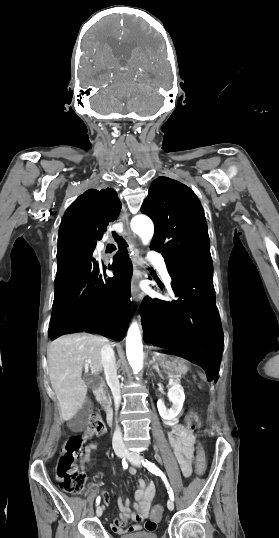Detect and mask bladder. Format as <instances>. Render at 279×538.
I'll list each match as a JSON object with an SVG mask.
<instances>
[{
  "label": "bladder",
  "mask_w": 279,
  "mask_h": 538,
  "mask_svg": "<svg viewBox=\"0 0 279 538\" xmlns=\"http://www.w3.org/2000/svg\"><path fill=\"white\" fill-rule=\"evenodd\" d=\"M122 538H156L155 532H123Z\"/></svg>",
  "instance_id": "31cf9c89"
}]
</instances>
